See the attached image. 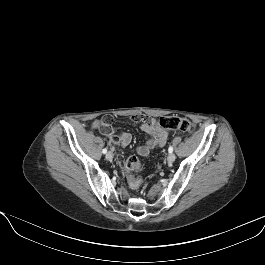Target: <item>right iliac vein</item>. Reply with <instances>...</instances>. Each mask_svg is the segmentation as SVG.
<instances>
[{
	"label": "right iliac vein",
	"instance_id": "obj_1",
	"mask_svg": "<svg viewBox=\"0 0 265 265\" xmlns=\"http://www.w3.org/2000/svg\"><path fill=\"white\" fill-rule=\"evenodd\" d=\"M106 159H107L108 161H111V160L113 159V153H112V152H108V153L106 154Z\"/></svg>",
	"mask_w": 265,
	"mask_h": 265
}]
</instances>
